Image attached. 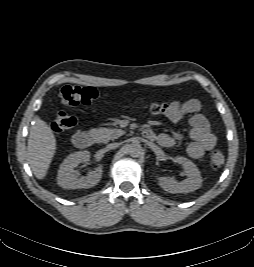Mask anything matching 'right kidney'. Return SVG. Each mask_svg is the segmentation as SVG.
<instances>
[{"mask_svg": "<svg viewBox=\"0 0 254 267\" xmlns=\"http://www.w3.org/2000/svg\"><path fill=\"white\" fill-rule=\"evenodd\" d=\"M89 151H78L67 156L60 165L57 183L64 189L91 188L97 185L102 177V165L88 173L85 177L78 178L74 168L80 163L89 161Z\"/></svg>", "mask_w": 254, "mask_h": 267, "instance_id": "obj_1", "label": "right kidney"}]
</instances>
